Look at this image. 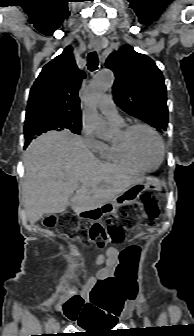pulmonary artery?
Returning a JSON list of instances; mask_svg holds the SVG:
<instances>
[{"mask_svg": "<svg viewBox=\"0 0 194 336\" xmlns=\"http://www.w3.org/2000/svg\"><path fill=\"white\" fill-rule=\"evenodd\" d=\"M101 113L116 124H122L123 120L119 116L111 94H105L99 101Z\"/></svg>", "mask_w": 194, "mask_h": 336, "instance_id": "1", "label": "pulmonary artery"}]
</instances>
